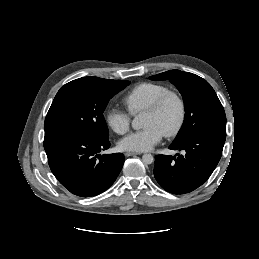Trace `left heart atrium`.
I'll return each mask as SVG.
<instances>
[{
  "label": "left heart atrium",
  "mask_w": 259,
  "mask_h": 259,
  "mask_svg": "<svg viewBox=\"0 0 259 259\" xmlns=\"http://www.w3.org/2000/svg\"><path fill=\"white\" fill-rule=\"evenodd\" d=\"M163 131L155 125L132 132L119 142V148L125 151L145 152L151 150L163 138Z\"/></svg>",
  "instance_id": "obj_1"
}]
</instances>
